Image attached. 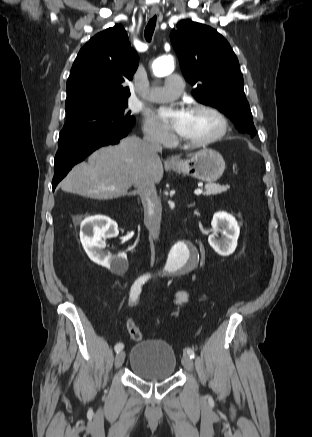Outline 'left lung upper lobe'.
Listing matches in <instances>:
<instances>
[{
	"label": "left lung upper lobe",
	"instance_id": "5c2ea615",
	"mask_svg": "<svg viewBox=\"0 0 312 437\" xmlns=\"http://www.w3.org/2000/svg\"><path fill=\"white\" fill-rule=\"evenodd\" d=\"M184 77L196 88L193 96L202 104L219 109L241 132L256 134L244 93L238 59L227 40L215 29L181 21L171 32Z\"/></svg>",
	"mask_w": 312,
	"mask_h": 437
}]
</instances>
